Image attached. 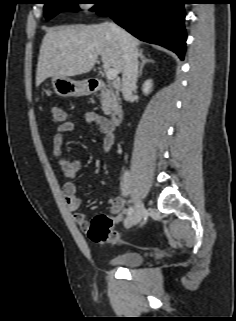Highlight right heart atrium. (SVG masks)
<instances>
[{"instance_id": "obj_1", "label": "right heart atrium", "mask_w": 236, "mask_h": 321, "mask_svg": "<svg viewBox=\"0 0 236 321\" xmlns=\"http://www.w3.org/2000/svg\"><path fill=\"white\" fill-rule=\"evenodd\" d=\"M82 8L86 13H91L96 10V6L93 3H85Z\"/></svg>"}]
</instances>
